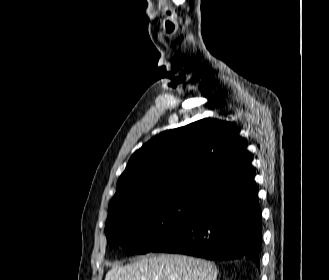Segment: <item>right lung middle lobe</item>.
I'll use <instances>...</instances> for the list:
<instances>
[{
  "instance_id": "obj_1",
  "label": "right lung middle lobe",
  "mask_w": 329,
  "mask_h": 280,
  "mask_svg": "<svg viewBox=\"0 0 329 280\" xmlns=\"http://www.w3.org/2000/svg\"><path fill=\"white\" fill-rule=\"evenodd\" d=\"M201 197H153L109 206L107 242L127 254H145L169 239L199 205Z\"/></svg>"
}]
</instances>
